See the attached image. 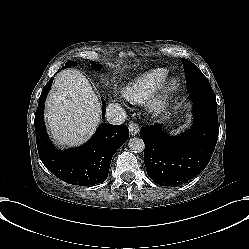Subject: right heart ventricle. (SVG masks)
Masks as SVG:
<instances>
[{"label":"right heart ventricle","mask_w":249,"mask_h":249,"mask_svg":"<svg viewBox=\"0 0 249 249\" xmlns=\"http://www.w3.org/2000/svg\"><path fill=\"white\" fill-rule=\"evenodd\" d=\"M167 74L168 71L160 67L146 70L126 84L122 94L134 103H143L161 87Z\"/></svg>","instance_id":"1"}]
</instances>
